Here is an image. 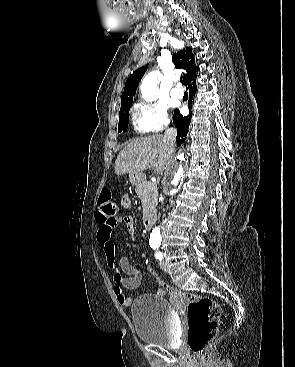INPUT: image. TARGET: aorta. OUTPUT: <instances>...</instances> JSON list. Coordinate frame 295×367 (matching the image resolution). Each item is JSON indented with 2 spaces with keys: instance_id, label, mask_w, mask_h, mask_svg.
Segmentation results:
<instances>
[{
  "instance_id": "obj_1",
  "label": "aorta",
  "mask_w": 295,
  "mask_h": 367,
  "mask_svg": "<svg viewBox=\"0 0 295 367\" xmlns=\"http://www.w3.org/2000/svg\"><path fill=\"white\" fill-rule=\"evenodd\" d=\"M157 76H158V73L153 72V73H150L149 75H147L145 77V79L143 80V83H142V86H141V92H142V97L146 101H152L154 96H155L156 88H157ZM183 177H184V169H183V165L180 163L176 167V170L172 173L170 184L173 187H176L179 183H181V181L183 180ZM172 191H173V189H172ZM150 238L154 242H160L161 241L162 237H161L159 227H155L153 229Z\"/></svg>"
}]
</instances>
